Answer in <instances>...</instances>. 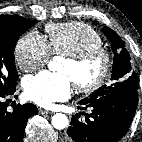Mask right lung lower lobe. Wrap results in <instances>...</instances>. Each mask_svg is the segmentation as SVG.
Segmentation results:
<instances>
[{"instance_id":"98d812e1","label":"right lung lower lobe","mask_w":142,"mask_h":142,"mask_svg":"<svg viewBox=\"0 0 142 142\" xmlns=\"http://www.w3.org/2000/svg\"><path fill=\"white\" fill-rule=\"evenodd\" d=\"M16 86L0 93V142H22L28 119L38 113L35 105L28 103L17 105L12 112L7 110L4 98L11 96Z\"/></svg>"}]
</instances>
